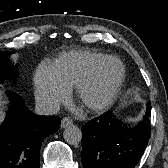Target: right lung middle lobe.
Here are the masks:
<instances>
[{
    "instance_id": "right-lung-middle-lobe-1",
    "label": "right lung middle lobe",
    "mask_w": 168,
    "mask_h": 168,
    "mask_svg": "<svg viewBox=\"0 0 168 168\" xmlns=\"http://www.w3.org/2000/svg\"><path fill=\"white\" fill-rule=\"evenodd\" d=\"M13 52H0V84L5 80L15 81L18 78L17 66L8 58Z\"/></svg>"
}]
</instances>
